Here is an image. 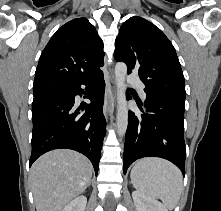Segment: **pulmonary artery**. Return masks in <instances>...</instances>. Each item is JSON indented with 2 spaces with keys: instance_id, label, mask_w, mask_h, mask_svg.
I'll return each instance as SVG.
<instances>
[{
  "instance_id": "e3ab8cb5",
  "label": "pulmonary artery",
  "mask_w": 221,
  "mask_h": 211,
  "mask_svg": "<svg viewBox=\"0 0 221 211\" xmlns=\"http://www.w3.org/2000/svg\"><path fill=\"white\" fill-rule=\"evenodd\" d=\"M128 82L131 85L136 86L139 89L141 96L145 98L146 96L145 91H144L145 86L137 76L135 75L128 76Z\"/></svg>"
}]
</instances>
